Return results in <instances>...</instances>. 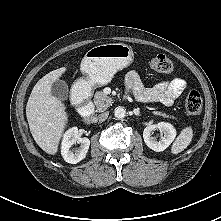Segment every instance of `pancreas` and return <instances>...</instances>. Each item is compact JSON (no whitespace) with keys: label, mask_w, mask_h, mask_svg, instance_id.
<instances>
[{"label":"pancreas","mask_w":221,"mask_h":221,"mask_svg":"<svg viewBox=\"0 0 221 221\" xmlns=\"http://www.w3.org/2000/svg\"><path fill=\"white\" fill-rule=\"evenodd\" d=\"M113 102V99L107 96L104 92L98 91L94 95V104L99 112L105 111ZM154 115H159L164 118H172L175 119L174 116H169L166 113L160 111H154Z\"/></svg>","instance_id":"pancreas-1"}]
</instances>
